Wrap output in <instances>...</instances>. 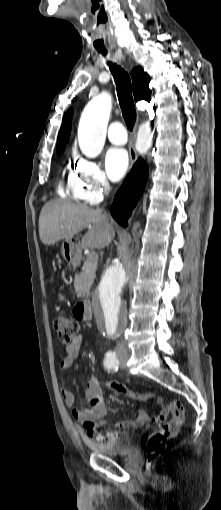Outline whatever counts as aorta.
Returning <instances> with one entry per match:
<instances>
[{
  "mask_svg": "<svg viewBox=\"0 0 221 510\" xmlns=\"http://www.w3.org/2000/svg\"><path fill=\"white\" fill-rule=\"evenodd\" d=\"M111 107V96L103 92L83 110L78 126V142L80 150L87 157L95 158L103 149ZM150 146V127L145 124L138 132L136 147L140 152H145ZM126 283L122 263H114L103 273L93 295L97 319L102 330L110 337L116 336L126 322V307L122 298Z\"/></svg>",
  "mask_w": 221,
  "mask_h": 510,
  "instance_id": "762f6f07",
  "label": "aorta"
}]
</instances>
